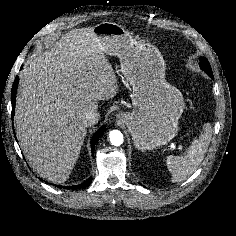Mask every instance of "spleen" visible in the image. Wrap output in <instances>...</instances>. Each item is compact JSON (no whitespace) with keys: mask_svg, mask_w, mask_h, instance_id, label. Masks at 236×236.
<instances>
[{"mask_svg":"<svg viewBox=\"0 0 236 236\" xmlns=\"http://www.w3.org/2000/svg\"><path fill=\"white\" fill-rule=\"evenodd\" d=\"M212 136V127L206 124L204 132L192 142L185 156H168L166 164L172 174V182H181L196 171L204 159Z\"/></svg>","mask_w":236,"mask_h":236,"instance_id":"obj_1","label":"spleen"}]
</instances>
